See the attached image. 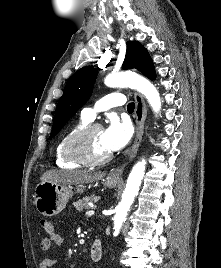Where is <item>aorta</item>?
<instances>
[{"label": "aorta", "mask_w": 221, "mask_h": 268, "mask_svg": "<svg viewBox=\"0 0 221 268\" xmlns=\"http://www.w3.org/2000/svg\"><path fill=\"white\" fill-rule=\"evenodd\" d=\"M104 83L111 88H134L146 97L155 113H158L161 109V99L157 89L150 81L138 74L128 72L111 73L105 78ZM145 164L144 159L137 162L129 174L122 199L117 206L114 216V230L116 233L120 231L126 220L127 213L134 202L135 196L138 194L145 173Z\"/></svg>", "instance_id": "aorta-1"}]
</instances>
